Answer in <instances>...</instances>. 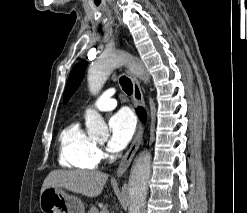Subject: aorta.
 <instances>
[{"instance_id":"aorta-1","label":"aorta","mask_w":247,"mask_h":213,"mask_svg":"<svg viewBox=\"0 0 247 213\" xmlns=\"http://www.w3.org/2000/svg\"><path fill=\"white\" fill-rule=\"evenodd\" d=\"M129 63L130 70L145 82L148 76L143 65L127 52L113 50L104 52L88 70V87L92 94H97L103 87L112 71L120 65ZM85 124L89 136L102 135L107 132V125L102 116L93 109H88L85 115ZM151 173V154L143 151L137 157L131 168L128 194V213H141L146 203L148 180Z\"/></svg>"}]
</instances>
